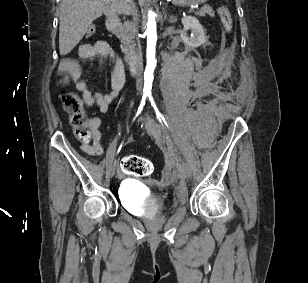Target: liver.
<instances>
[{
  "label": "liver",
  "mask_w": 308,
  "mask_h": 283,
  "mask_svg": "<svg viewBox=\"0 0 308 283\" xmlns=\"http://www.w3.org/2000/svg\"><path fill=\"white\" fill-rule=\"evenodd\" d=\"M132 1V0H131ZM130 0H61L59 50L70 53L102 14L126 13Z\"/></svg>",
  "instance_id": "obj_1"
}]
</instances>
